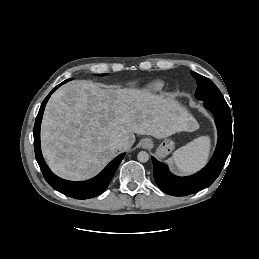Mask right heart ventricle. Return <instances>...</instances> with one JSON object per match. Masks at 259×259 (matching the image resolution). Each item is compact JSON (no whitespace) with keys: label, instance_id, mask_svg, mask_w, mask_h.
Masks as SVG:
<instances>
[{"label":"right heart ventricle","instance_id":"e07e8e85","mask_svg":"<svg viewBox=\"0 0 259 259\" xmlns=\"http://www.w3.org/2000/svg\"><path fill=\"white\" fill-rule=\"evenodd\" d=\"M163 86H164V85H163L162 83H160V82H154V83H152V84H150V85L148 86L147 92H148L149 94H157V93H159V92L162 91Z\"/></svg>","mask_w":259,"mask_h":259}]
</instances>
